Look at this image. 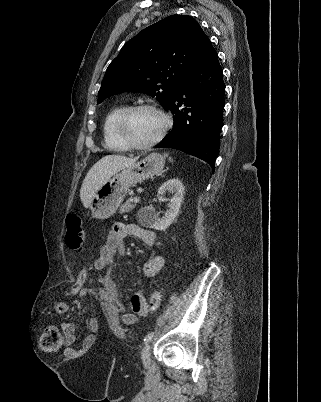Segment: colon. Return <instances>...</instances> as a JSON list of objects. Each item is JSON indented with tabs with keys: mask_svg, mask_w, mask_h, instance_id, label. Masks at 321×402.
I'll return each mask as SVG.
<instances>
[{
	"mask_svg": "<svg viewBox=\"0 0 321 402\" xmlns=\"http://www.w3.org/2000/svg\"><path fill=\"white\" fill-rule=\"evenodd\" d=\"M65 223L67 227V231L65 234L66 246L76 253L82 252L85 245V232L83 230V222L81 216L76 212H71L66 216ZM87 273V265H85L80 271V274L77 275L73 285L70 286L69 294L71 296L85 293L84 285L87 282ZM161 299V291H155L152 293L148 305L146 301L140 300L139 302L132 305V309L136 313L144 314L146 313L148 307L152 310L157 309L161 303ZM62 343L63 338L59 329L54 325H49L41 334L39 340V348L43 352H54L62 346Z\"/></svg>",
	"mask_w": 321,
	"mask_h": 402,
	"instance_id": "5ec220e1",
	"label": "colon"
}]
</instances>
